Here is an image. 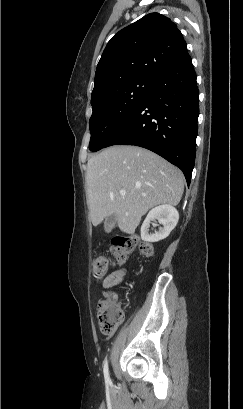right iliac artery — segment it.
I'll use <instances>...</instances> for the list:
<instances>
[{
	"instance_id": "82829eb1",
	"label": "right iliac artery",
	"mask_w": 243,
	"mask_h": 409,
	"mask_svg": "<svg viewBox=\"0 0 243 409\" xmlns=\"http://www.w3.org/2000/svg\"><path fill=\"white\" fill-rule=\"evenodd\" d=\"M103 373H104V378H105L106 384H111V380H110L109 373H108V361H107V359L104 361Z\"/></svg>"
}]
</instances>
